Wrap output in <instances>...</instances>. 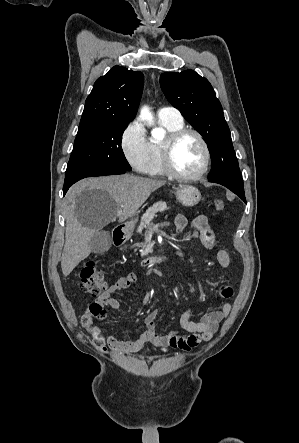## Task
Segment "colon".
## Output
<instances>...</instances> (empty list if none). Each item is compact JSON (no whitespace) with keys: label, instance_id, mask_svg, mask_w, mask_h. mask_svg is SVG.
<instances>
[{"label":"colon","instance_id":"colon-1","mask_svg":"<svg viewBox=\"0 0 299 443\" xmlns=\"http://www.w3.org/2000/svg\"><path fill=\"white\" fill-rule=\"evenodd\" d=\"M214 208L216 211H223L225 209V202L222 199H216L214 201ZM80 287L81 289L91 295L99 294L105 287L103 275L98 271L92 262L86 263L80 274ZM89 312L93 319L103 320L106 316V311L103 306L98 303L90 305ZM95 338L100 341L101 335L94 333Z\"/></svg>","mask_w":299,"mask_h":443}]
</instances>
